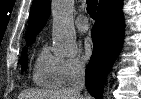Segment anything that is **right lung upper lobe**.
<instances>
[{"instance_id":"cb5924a9","label":"right lung upper lobe","mask_w":141,"mask_h":99,"mask_svg":"<svg viewBox=\"0 0 141 99\" xmlns=\"http://www.w3.org/2000/svg\"><path fill=\"white\" fill-rule=\"evenodd\" d=\"M107 0H100L99 6ZM50 16L49 0H33L29 18V28L27 34V43H33L35 36L45 26Z\"/></svg>"}]
</instances>
